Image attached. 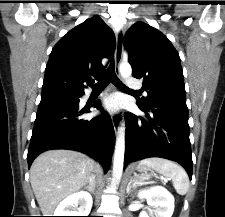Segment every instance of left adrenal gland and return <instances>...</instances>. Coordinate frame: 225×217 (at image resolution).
<instances>
[{"label": "left adrenal gland", "instance_id": "left-adrenal-gland-1", "mask_svg": "<svg viewBox=\"0 0 225 217\" xmlns=\"http://www.w3.org/2000/svg\"><path fill=\"white\" fill-rule=\"evenodd\" d=\"M132 188L134 189V187L132 186V179H131L130 182L128 183V185H127L126 192L128 194H130Z\"/></svg>", "mask_w": 225, "mask_h": 217}]
</instances>
